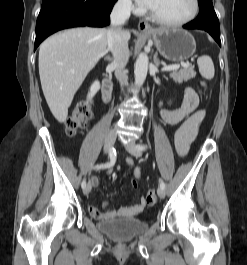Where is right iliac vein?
I'll list each match as a JSON object with an SVG mask.
<instances>
[{"mask_svg":"<svg viewBox=\"0 0 247 265\" xmlns=\"http://www.w3.org/2000/svg\"><path fill=\"white\" fill-rule=\"evenodd\" d=\"M116 140V132L115 130L109 131V133L106 136L105 144H104V152L108 153L110 149L112 148L113 144ZM91 191V184L89 183L84 189L83 192L85 195H88Z\"/></svg>","mask_w":247,"mask_h":265,"instance_id":"1","label":"right iliac vein"}]
</instances>
